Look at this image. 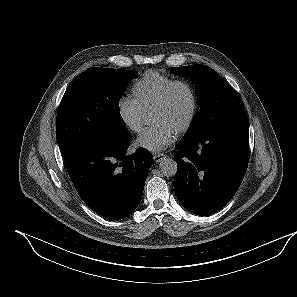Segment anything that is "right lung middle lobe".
<instances>
[{
	"instance_id": "dd1d6c3e",
	"label": "right lung middle lobe",
	"mask_w": 297,
	"mask_h": 297,
	"mask_svg": "<svg viewBox=\"0 0 297 297\" xmlns=\"http://www.w3.org/2000/svg\"><path fill=\"white\" fill-rule=\"evenodd\" d=\"M138 73L94 67L80 74L65 92L57 113L56 138L67 162L100 142L131 136L121 117L119 100Z\"/></svg>"
}]
</instances>
